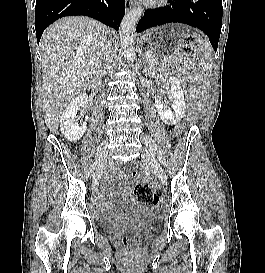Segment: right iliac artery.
I'll return each mask as SVG.
<instances>
[{"instance_id":"1","label":"right iliac artery","mask_w":265,"mask_h":273,"mask_svg":"<svg viewBox=\"0 0 265 273\" xmlns=\"http://www.w3.org/2000/svg\"><path fill=\"white\" fill-rule=\"evenodd\" d=\"M95 166H96V163H93V164L90 166L89 174H92V173H93V171L95 170Z\"/></svg>"}]
</instances>
